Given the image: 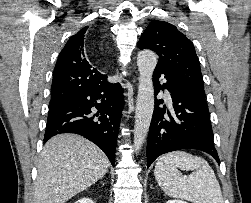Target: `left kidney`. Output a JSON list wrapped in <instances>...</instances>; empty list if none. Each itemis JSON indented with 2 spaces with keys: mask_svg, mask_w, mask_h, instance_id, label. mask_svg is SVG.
<instances>
[{
  "mask_svg": "<svg viewBox=\"0 0 251 203\" xmlns=\"http://www.w3.org/2000/svg\"><path fill=\"white\" fill-rule=\"evenodd\" d=\"M166 203H187V202L173 199V200H168Z\"/></svg>",
  "mask_w": 251,
  "mask_h": 203,
  "instance_id": "obj_1",
  "label": "left kidney"
}]
</instances>
